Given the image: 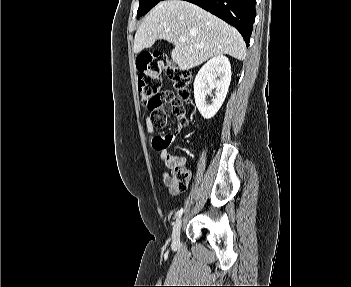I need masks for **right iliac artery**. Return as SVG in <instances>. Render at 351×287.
Returning a JSON list of instances; mask_svg holds the SVG:
<instances>
[{"mask_svg":"<svg viewBox=\"0 0 351 287\" xmlns=\"http://www.w3.org/2000/svg\"><path fill=\"white\" fill-rule=\"evenodd\" d=\"M183 213V208H181L177 213H176V219L180 218Z\"/></svg>","mask_w":351,"mask_h":287,"instance_id":"right-iliac-artery-1","label":"right iliac artery"}]
</instances>
